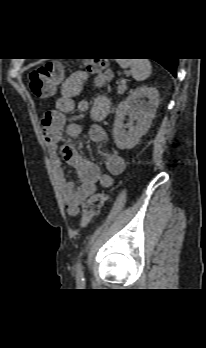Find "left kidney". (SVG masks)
I'll use <instances>...</instances> for the list:
<instances>
[{
	"label": "left kidney",
	"mask_w": 206,
	"mask_h": 348,
	"mask_svg": "<svg viewBox=\"0 0 206 348\" xmlns=\"http://www.w3.org/2000/svg\"><path fill=\"white\" fill-rule=\"evenodd\" d=\"M147 99V100H146ZM159 105V93L156 88L141 86L134 91L116 109L113 138L116 146L121 149H132L140 138L149 130ZM128 115L136 125H124ZM128 128V131L125 130Z\"/></svg>",
	"instance_id": "obj_1"
}]
</instances>
